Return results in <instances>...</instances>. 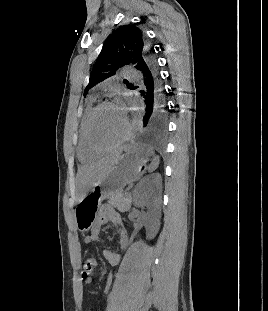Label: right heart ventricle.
Listing matches in <instances>:
<instances>
[{
	"label": "right heart ventricle",
	"mask_w": 268,
	"mask_h": 311,
	"mask_svg": "<svg viewBox=\"0 0 268 311\" xmlns=\"http://www.w3.org/2000/svg\"><path fill=\"white\" fill-rule=\"evenodd\" d=\"M94 108L93 103H90L86 110L84 111L80 126H79V139H78V145H77V155L81 162H90L95 160L98 157V153H95L92 151L89 146L87 145L86 138H85V123L86 119L91 112V110Z\"/></svg>",
	"instance_id": "obj_1"
}]
</instances>
